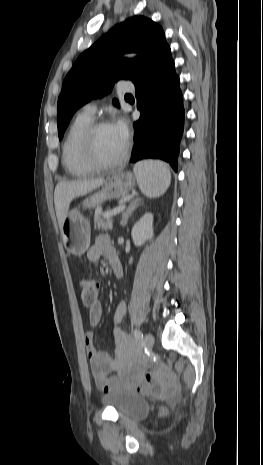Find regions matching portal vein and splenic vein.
Wrapping results in <instances>:
<instances>
[{
    "instance_id": "18ae733b",
    "label": "portal vein and splenic vein",
    "mask_w": 263,
    "mask_h": 465,
    "mask_svg": "<svg viewBox=\"0 0 263 465\" xmlns=\"http://www.w3.org/2000/svg\"><path fill=\"white\" fill-rule=\"evenodd\" d=\"M125 209V205H120L119 207H117L116 209H114L113 211L111 212H106L104 214V218H110L112 216H115L117 215L118 213H120L121 211H123Z\"/></svg>"
}]
</instances>
